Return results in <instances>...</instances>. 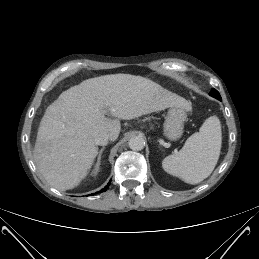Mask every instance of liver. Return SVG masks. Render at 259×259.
<instances>
[{"instance_id":"obj_1","label":"liver","mask_w":259,"mask_h":259,"mask_svg":"<svg viewBox=\"0 0 259 259\" xmlns=\"http://www.w3.org/2000/svg\"><path fill=\"white\" fill-rule=\"evenodd\" d=\"M169 107L191 109L185 98L141 76L111 74L84 80L46 109L34 147L37 168L52 187L73 189L94 163L98 154L94 139L99 133H109L114 141L121 130L119 119Z\"/></svg>"}]
</instances>
